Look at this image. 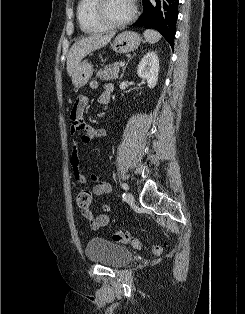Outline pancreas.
<instances>
[{"mask_svg":"<svg viewBox=\"0 0 245 314\" xmlns=\"http://www.w3.org/2000/svg\"><path fill=\"white\" fill-rule=\"evenodd\" d=\"M120 72V63L106 65L104 69L97 71L96 77L101 80H114L118 78Z\"/></svg>","mask_w":245,"mask_h":314,"instance_id":"obj_1","label":"pancreas"}]
</instances>
